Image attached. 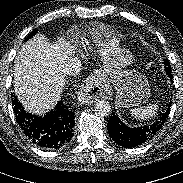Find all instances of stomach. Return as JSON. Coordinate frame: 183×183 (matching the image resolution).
Masks as SVG:
<instances>
[{
  "label": "stomach",
  "mask_w": 183,
  "mask_h": 183,
  "mask_svg": "<svg viewBox=\"0 0 183 183\" xmlns=\"http://www.w3.org/2000/svg\"><path fill=\"white\" fill-rule=\"evenodd\" d=\"M132 53L125 48H116L103 76H110L117 93L116 104L119 107L140 106L150 97V85L141 73L136 70H122L133 62Z\"/></svg>",
  "instance_id": "obj_1"
}]
</instances>
